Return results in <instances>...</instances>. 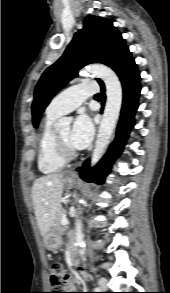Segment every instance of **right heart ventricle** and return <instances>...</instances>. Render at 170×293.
<instances>
[{
	"instance_id": "right-heart-ventricle-1",
	"label": "right heart ventricle",
	"mask_w": 170,
	"mask_h": 293,
	"mask_svg": "<svg viewBox=\"0 0 170 293\" xmlns=\"http://www.w3.org/2000/svg\"><path fill=\"white\" fill-rule=\"evenodd\" d=\"M58 117V115H52L46 112L40 126L37 142V165L39 171L44 174L57 172L61 170L66 163V161L59 158L54 151L53 125Z\"/></svg>"
}]
</instances>
